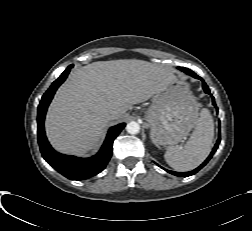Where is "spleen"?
Wrapping results in <instances>:
<instances>
[{"mask_svg":"<svg viewBox=\"0 0 252 231\" xmlns=\"http://www.w3.org/2000/svg\"><path fill=\"white\" fill-rule=\"evenodd\" d=\"M214 138V122L208 109H202L196 127L186 145L178 149L169 146L164 155L167 164L176 171H191L209 155Z\"/></svg>","mask_w":252,"mask_h":231,"instance_id":"obj_1","label":"spleen"}]
</instances>
